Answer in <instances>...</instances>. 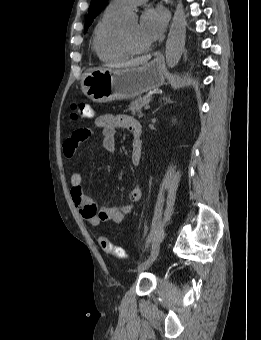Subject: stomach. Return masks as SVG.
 Here are the masks:
<instances>
[{"label": "stomach", "instance_id": "0dacf381", "mask_svg": "<svg viewBox=\"0 0 261 340\" xmlns=\"http://www.w3.org/2000/svg\"><path fill=\"white\" fill-rule=\"evenodd\" d=\"M164 81V62L156 58L140 67L91 70L83 75L81 88L92 101L106 103L135 98L160 87Z\"/></svg>", "mask_w": 261, "mask_h": 340}]
</instances>
